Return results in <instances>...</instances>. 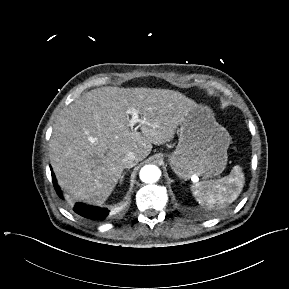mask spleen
I'll return each mask as SVG.
<instances>
[{
    "mask_svg": "<svg viewBox=\"0 0 289 289\" xmlns=\"http://www.w3.org/2000/svg\"><path fill=\"white\" fill-rule=\"evenodd\" d=\"M245 183L242 167L236 165L228 176L218 180H204L192 186L193 195L202 206L225 208L240 195Z\"/></svg>",
    "mask_w": 289,
    "mask_h": 289,
    "instance_id": "spleen-1",
    "label": "spleen"
}]
</instances>
